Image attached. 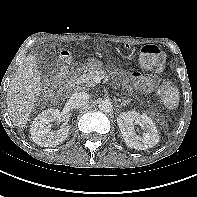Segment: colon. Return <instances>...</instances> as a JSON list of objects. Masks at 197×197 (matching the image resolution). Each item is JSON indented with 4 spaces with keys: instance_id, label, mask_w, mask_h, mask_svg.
I'll return each mask as SVG.
<instances>
[{
    "instance_id": "colon-1",
    "label": "colon",
    "mask_w": 197,
    "mask_h": 197,
    "mask_svg": "<svg viewBox=\"0 0 197 197\" xmlns=\"http://www.w3.org/2000/svg\"><path fill=\"white\" fill-rule=\"evenodd\" d=\"M62 67L67 68L70 56L66 52H62L60 56ZM140 61L145 68H154L157 72H161L165 66V56L161 49L154 44H147L140 51ZM159 95L167 106L174 107L178 103V91L174 84L165 80L160 88Z\"/></svg>"
}]
</instances>
